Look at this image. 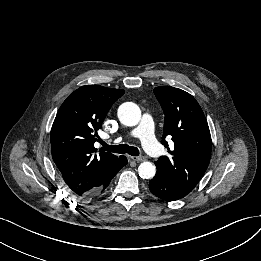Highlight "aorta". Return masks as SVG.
Masks as SVG:
<instances>
[{
  "instance_id": "762f6f07",
  "label": "aorta",
  "mask_w": 261,
  "mask_h": 261,
  "mask_svg": "<svg viewBox=\"0 0 261 261\" xmlns=\"http://www.w3.org/2000/svg\"><path fill=\"white\" fill-rule=\"evenodd\" d=\"M118 118L126 126H135L141 119V110L133 102H125L118 108ZM138 173L141 178L151 179L156 174V167L153 163L145 161L138 167Z\"/></svg>"
}]
</instances>
